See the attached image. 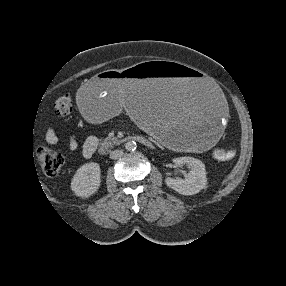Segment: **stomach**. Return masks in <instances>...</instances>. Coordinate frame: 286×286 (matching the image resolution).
I'll return each instance as SVG.
<instances>
[{
    "label": "stomach",
    "mask_w": 286,
    "mask_h": 286,
    "mask_svg": "<svg viewBox=\"0 0 286 286\" xmlns=\"http://www.w3.org/2000/svg\"><path fill=\"white\" fill-rule=\"evenodd\" d=\"M75 107L91 123L114 120L126 110L138 127L180 154L213 147L227 120L213 83L168 60L104 67L83 83Z\"/></svg>",
    "instance_id": "stomach-1"
}]
</instances>
